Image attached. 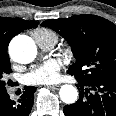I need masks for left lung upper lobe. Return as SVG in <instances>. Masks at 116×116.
Here are the masks:
<instances>
[{
  "instance_id": "left-lung-upper-lobe-1",
  "label": "left lung upper lobe",
  "mask_w": 116,
  "mask_h": 116,
  "mask_svg": "<svg viewBox=\"0 0 116 116\" xmlns=\"http://www.w3.org/2000/svg\"><path fill=\"white\" fill-rule=\"evenodd\" d=\"M60 34L71 46L76 61L68 74L77 80L116 77V25L99 16L74 15L42 23Z\"/></svg>"
}]
</instances>
